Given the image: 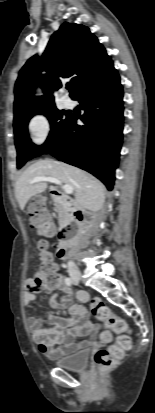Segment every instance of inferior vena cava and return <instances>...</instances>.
I'll list each match as a JSON object with an SVG mask.
<instances>
[{"label": "inferior vena cava", "mask_w": 155, "mask_h": 413, "mask_svg": "<svg viewBox=\"0 0 155 413\" xmlns=\"http://www.w3.org/2000/svg\"><path fill=\"white\" fill-rule=\"evenodd\" d=\"M68 269H69V272H78L77 266L72 261L68 262Z\"/></svg>", "instance_id": "obj_1"}]
</instances>
